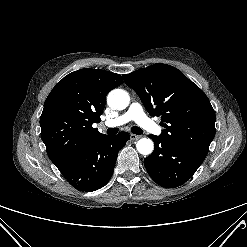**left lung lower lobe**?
<instances>
[{"instance_id":"left-lung-lower-lobe-1","label":"left lung lower lobe","mask_w":247,"mask_h":247,"mask_svg":"<svg viewBox=\"0 0 247 247\" xmlns=\"http://www.w3.org/2000/svg\"><path fill=\"white\" fill-rule=\"evenodd\" d=\"M155 148L144 159L150 177L160 186L174 188L188 181L206 155L186 147L170 144L159 136L149 135Z\"/></svg>"}]
</instances>
